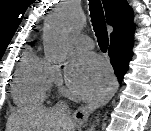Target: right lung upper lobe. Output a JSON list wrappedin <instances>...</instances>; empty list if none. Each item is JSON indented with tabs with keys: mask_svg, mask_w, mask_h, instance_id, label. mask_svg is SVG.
<instances>
[{
	"mask_svg": "<svg viewBox=\"0 0 151 131\" xmlns=\"http://www.w3.org/2000/svg\"><path fill=\"white\" fill-rule=\"evenodd\" d=\"M106 20L113 27L110 44L133 42V11L126 0H103Z\"/></svg>",
	"mask_w": 151,
	"mask_h": 131,
	"instance_id": "1",
	"label": "right lung upper lobe"
}]
</instances>
